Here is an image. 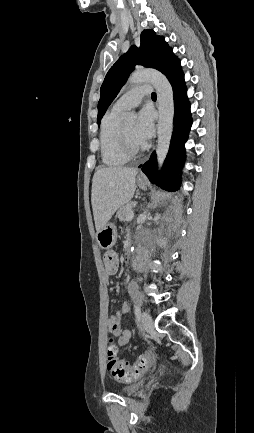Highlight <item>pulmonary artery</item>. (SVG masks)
Returning a JSON list of instances; mask_svg holds the SVG:
<instances>
[{
  "instance_id": "e3ab8cb5",
  "label": "pulmonary artery",
  "mask_w": 254,
  "mask_h": 433,
  "mask_svg": "<svg viewBox=\"0 0 254 433\" xmlns=\"http://www.w3.org/2000/svg\"><path fill=\"white\" fill-rule=\"evenodd\" d=\"M151 86L141 85L134 87L122 95L113 105V110L123 112L138 106L145 95L150 94Z\"/></svg>"
}]
</instances>
